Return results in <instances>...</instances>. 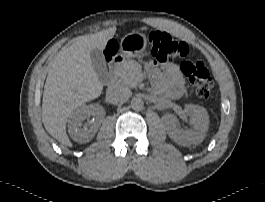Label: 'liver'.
I'll return each instance as SVG.
<instances>
[{"label":"liver","instance_id":"liver-1","mask_svg":"<svg viewBox=\"0 0 265 202\" xmlns=\"http://www.w3.org/2000/svg\"><path fill=\"white\" fill-rule=\"evenodd\" d=\"M115 32L116 27H112L80 36L50 63L43 92L42 122L47 132L62 145L72 146L66 133L71 113L82 104L98 98L103 90V83L90 59V51L95 48L103 50Z\"/></svg>","mask_w":265,"mask_h":202}]
</instances>
